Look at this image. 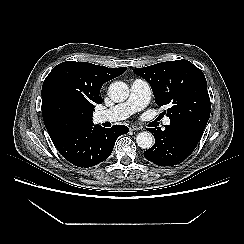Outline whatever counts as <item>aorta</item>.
<instances>
[{
    "label": "aorta",
    "instance_id": "obj_1",
    "mask_svg": "<svg viewBox=\"0 0 244 244\" xmlns=\"http://www.w3.org/2000/svg\"><path fill=\"white\" fill-rule=\"evenodd\" d=\"M108 94L114 102H123L129 96V87L122 81H116L110 84ZM154 141V136L148 131L140 132L136 137V143L142 149H150Z\"/></svg>",
    "mask_w": 244,
    "mask_h": 244
}]
</instances>
